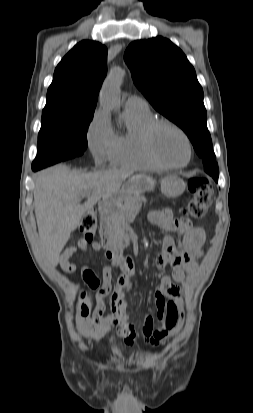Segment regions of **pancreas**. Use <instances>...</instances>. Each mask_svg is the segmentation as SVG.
<instances>
[{
    "mask_svg": "<svg viewBox=\"0 0 253 413\" xmlns=\"http://www.w3.org/2000/svg\"><path fill=\"white\" fill-rule=\"evenodd\" d=\"M145 201L146 198L143 195L135 194L127 197L117 210L105 213L104 220L108 225L112 226L116 242L120 247H127L129 245L128 221L133 210L138 209L141 203Z\"/></svg>",
    "mask_w": 253,
    "mask_h": 413,
    "instance_id": "obj_1",
    "label": "pancreas"
}]
</instances>
